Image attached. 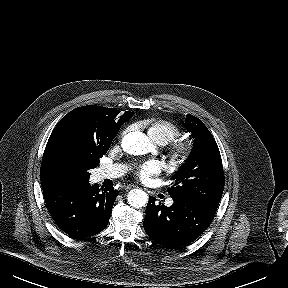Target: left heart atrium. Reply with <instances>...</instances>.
Wrapping results in <instances>:
<instances>
[{"label":"left heart atrium","instance_id":"left-heart-atrium-1","mask_svg":"<svg viewBox=\"0 0 288 288\" xmlns=\"http://www.w3.org/2000/svg\"><path fill=\"white\" fill-rule=\"evenodd\" d=\"M160 170V163L155 160H151L139 166L136 171V175L140 180L148 181L152 176L158 174Z\"/></svg>","mask_w":288,"mask_h":288}]
</instances>
